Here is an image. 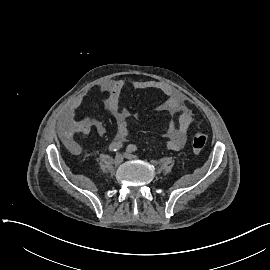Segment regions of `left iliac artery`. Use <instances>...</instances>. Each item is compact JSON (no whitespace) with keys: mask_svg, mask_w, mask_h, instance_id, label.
I'll return each mask as SVG.
<instances>
[{"mask_svg":"<svg viewBox=\"0 0 270 270\" xmlns=\"http://www.w3.org/2000/svg\"><path fill=\"white\" fill-rule=\"evenodd\" d=\"M126 150H127V152H135L137 150V147H136V145L131 144V145L127 146Z\"/></svg>","mask_w":270,"mask_h":270,"instance_id":"obj_1","label":"left iliac artery"}]
</instances>
